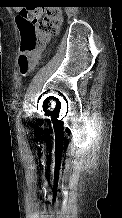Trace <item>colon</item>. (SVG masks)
<instances>
[{"mask_svg": "<svg viewBox=\"0 0 122 218\" xmlns=\"http://www.w3.org/2000/svg\"><path fill=\"white\" fill-rule=\"evenodd\" d=\"M17 23L21 32L20 73L28 76L39 60V49L56 35L62 23L58 7H32L20 10Z\"/></svg>", "mask_w": 122, "mask_h": 218, "instance_id": "1", "label": "colon"}]
</instances>
